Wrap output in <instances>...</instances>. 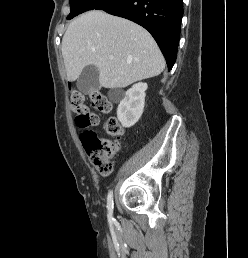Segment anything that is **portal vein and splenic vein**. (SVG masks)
Returning <instances> with one entry per match:
<instances>
[{
    "mask_svg": "<svg viewBox=\"0 0 248 258\" xmlns=\"http://www.w3.org/2000/svg\"><path fill=\"white\" fill-rule=\"evenodd\" d=\"M114 57L113 56H109V59H113Z\"/></svg>",
    "mask_w": 248,
    "mask_h": 258,
    "instance_id": "1",
    "label": "portal vein and splenic vein"
}]
</instances>
